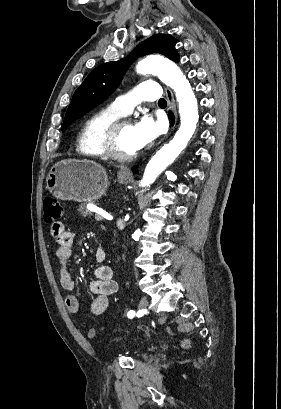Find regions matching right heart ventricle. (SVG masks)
Here are the masks:
<instances>
[{
    "label": "right heart ventricle",
    "instance_id": "e07e8e85",
    "mask_svg": "<svg viewBox=\"0 0 281 409\" xmlns=\"http://www.w3.org/2000/svg\"><path fill=\"white\" fill-rule=\"evenodd\" d=\"M119 114L110 108H103L92 113L85 121L80 139V151L92 158L105 157L101 147V135L105 126L111 121L119 118Z\"/></svg>",
    "mask_w": 281,
    "mask_h": 409
}]
</instances>
